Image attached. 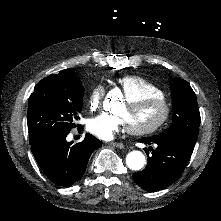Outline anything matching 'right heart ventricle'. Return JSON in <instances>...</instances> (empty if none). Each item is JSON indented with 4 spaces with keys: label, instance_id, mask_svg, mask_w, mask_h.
Instances as JSON below:
<instances>
[{
    "label": "right heart ventricle",
    "instance_id": "right-heart-ventricle-1",
    "mask_svg": "<svg viewBox=\"0 0 221 221\" xmlns=\"http://www.w3.org/2000/svg\"><path fill=\"white\" fill-rule=\"evenodd\" d=\"M118 85L122 88V93L127 104L133 108L139 101H148L157 92L166 90L159 84L147 80L143 77L122 76L118 78Z\"/></svg>",
    "mask_w": 221,
    "mask_h": 221
}]
</instances>
